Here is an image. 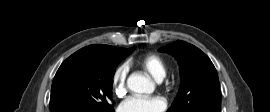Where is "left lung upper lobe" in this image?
Wrapping results in <instances>:
<instances>
[{
  "mask_svg": "<svg viewBox=\"0 0 270 112\" xmlns=\"http://www.w3.org/2000/svg\"><path fill=\"white\" fill-rule=\"evenodd\" d=\"M159 51L174 55L180 65L179 93L167 112H221L217 71L206 54L181 40Z\"/></svg>",
  "mask_w": 270,
  "mask_h": 112,
  "instance_id": "1",
  "label": "left lung upper lobe"
}]
</instances>
